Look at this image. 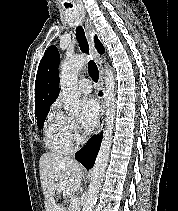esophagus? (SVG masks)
Returning <instances> with one entry per match:
<instances>
[{"instance_id": "1", "label": "esophagus", "mask_w": 178, "mask_h": 211, "mask_svg": "<svg viewBox=\"0 0 178 211\" xmlns=\"http://www.w3.org/2000/svg\"><path fill=\"white\" fill-rule=\"evenodd\" d=\"M85 17V31H86V37L89 43V47L91 50V53L94 57V60L98 66V70H99V87L102 90L103 86H104V70H103V66H102V57L101 55L98 53L96 47H95V43H94V25L91 21V19H89L86 15H84ZM99 102H100V117H99V121H98V125L97 128L95 130V135H98L100 133V131L103 128L104 125V116H105V111H106V98L104 95L99 97Z\"/></svg>"}]
</instances>
